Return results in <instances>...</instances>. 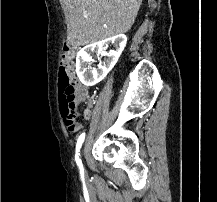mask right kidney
<instances>
[{"label":"right kidney","instance_id":"right-kidney-1","mask_svg":"<svg viewBox=\"0 0 217 202\" xmlns=\"http://www.w3.org/2000/svg\"><path fill=\"white\" fill-rule=\"evenodd\" d=\"M108 44H112L114 50H110L109 54H106L107 58H105L104 62L98 64L96 74L95 72L88 70L87 66L89 62H92L93 52L103 54V50L108 48ZM126 44V36H124V34H119V36L106 38V40H102V42H95V44H89V46L82 48V50L78 52L76 58V74L80 82H82L84 86H93V84L101 82V80L109 74L110 70L114 68L116 62H118V58H120Z\"/></svg>","mask_w":217,"mask_h":202}]
</instances>
